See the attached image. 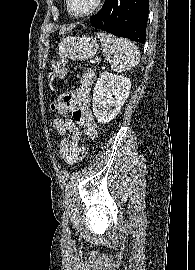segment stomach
<instances>
[{"instance_id": "1", "label": "stomach", "mask_w": 195, "mask_h": 270, "mask_svg": "<svg viewBox=\"0 0 195 270\" xmlns=\"http://www.w3.org/2000/svg\"><path fill=\"white\" fill-rule=\"evenodd\" d=\"M98 44L93 37H67L59 44L60 61L53 65V78H63L66 75V58L85 61L91 59L97 51Z\"/></svg>"}]
</instances>
